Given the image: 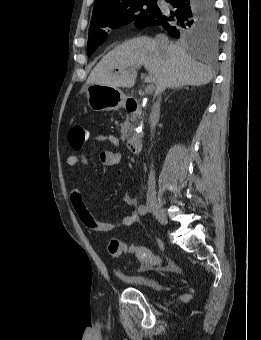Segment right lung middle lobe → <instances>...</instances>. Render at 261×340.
<instances>
[{"label":"right lung middle lobe","instance_id":"1","mask_svg":"<svg viewBox=\"0 0 261 340\" xmlns=\"http://www.w3.org/2000/svg\"><path fill=\"white\" fill-rule=\"evenodd\" d=\"M157 0H144L118 9L102 19L91 21L87 54L90 56L102 44L107 33L104 28H117L132 21L140 28L149 26L160 12ZM176 37L181 40H216L218 37V19L216 14H191L176 25Z\"/></svg>","mask_w":261,"mask_h":340}]
</instances>
